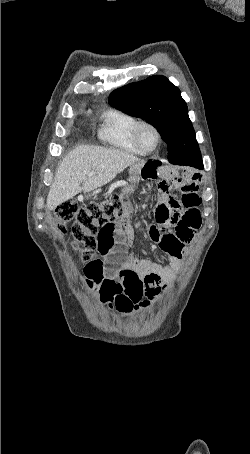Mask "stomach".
<instances>
[{"mask_svg": "<svg viewBox=\"0 0 250 454\" xmlns=\"http://www.w3.org/2000/svg\"><path fill=\"white\" fill-rule=\"evenodd\" d=\"M129 172L130 176H157L158 167L153 161H149L144 162L141 166H130Z\"/></svg>", "mask_w": 250, "mask_h": 454, "instance_id": "obj_1", "label": "stomach"}]
</instances>
